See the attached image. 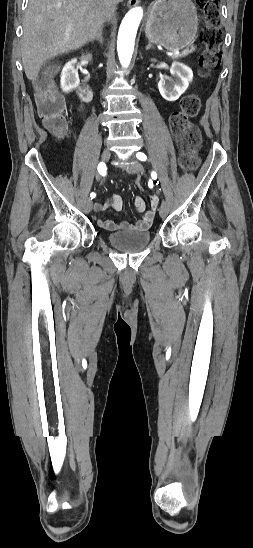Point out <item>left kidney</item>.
Instances as JSON below:
<instances>
[{"mask_svg":"<svg viewBox=\"0 0 253 548\" xmlns=\"http://www.w3.org/2000/svg\"><path fill=\"white\" fill-rule=\"evenodd\" d=\"M171 77H164L158 83L161 96L167 101H176L193 80L192 70L180 62H173L170 68Z\"/></svg>","mask_w":253,"mask_h":548,"instance_id":"5707ae66","label":"left kidney"}]
</instances>
